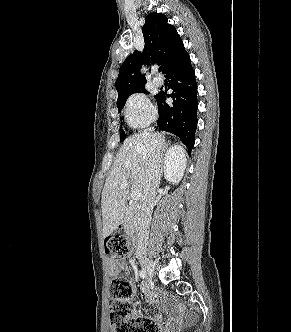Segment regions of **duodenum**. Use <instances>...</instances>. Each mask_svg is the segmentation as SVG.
Listing matches in <instances>:
<instances>
[{"instance_id": "1", "label": "duodenum", "mask_w": 291, "mask_h": 332, "mask_svg": "<svg viewBox=\"0 0 291 332\" xmlns=\"http://www.w3.org/2000/svg\"><path fill=\"white\" fill-rule=\"evenodd\" d=\"M133 242H134L135 245H138V244H139V242H140V238H139L138 235H135V236L133 237Z\"/></svg>"}]
</instances>
